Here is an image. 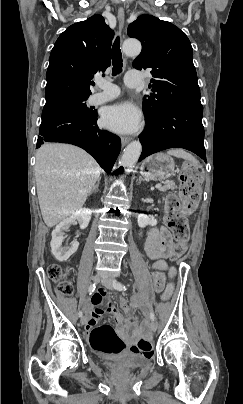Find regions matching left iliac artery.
I'll use <instances>...</instances> for the list:
<instances>
[{"label": "left iliac artery", "instance_id": "obj_1", "mask_svg": "<svg viewBox=\"0 0 243 404\" xmlns=\"http://www.w3.org/2000/svg\"><path fill=\"white\" fill-rule=\"evenodd\" d=\"M114 288L119 290V291H125L126 290V287L122 283H120L118 281H114ZM150 319L152 321L155 320V315H154V313L152 311H150Z\"/></svg>", "mask_w": 243, "mask_h": 404}]
</instances>
